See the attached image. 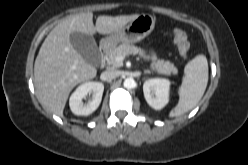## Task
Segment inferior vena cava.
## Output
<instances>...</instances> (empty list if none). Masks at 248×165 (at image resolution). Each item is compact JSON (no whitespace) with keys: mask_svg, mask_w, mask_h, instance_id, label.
Returning a JSON list of instances; mask_svg holds the SVG:
<instances>
[{"mask_svg":"<svg viewBox=\"0 0 248 165\" xmlns=\"http://www.w3.org/2000/svg\"><path fill=\"white\" fill-rule=\"evenodd\" d=\"M119 75H120V71L114 70V69H109V70L102 72L101 79L104 81L112 80V79H115L116 77H118Z\"/></svg>","mask_w":248,"mask_h":165,"instance_id":"obj_1","label":"inferior vena cava"}]
</instances>
